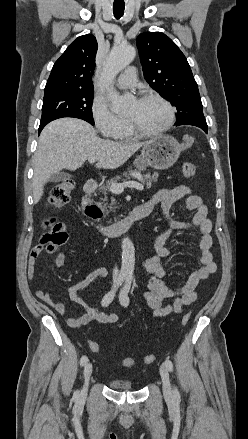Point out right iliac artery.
I'll use <instances>...</instances> for the list:
<instances>
[{"mask_svg":"<svg viewBox=\"0 0 248 439\" xmlns=\"http://www.w3.org/2000/svg\"><path fill=\"white\" fill-rule=\"evenodd\" d=\"M126 279V275H119V277L117 278L116 284L114 285L113 289L111 291H109L102 299V306L103 307H107L112 300L114 299V296L116 294V291L118 290L119 286H121V284L123 283V281ZM88 361L87 356H82L80 359V365L84 366Z\"/></svg>","mask_w":248,"mask_h":439,"instance_id":"1","label":"right iliac artery"}]
</instances>
